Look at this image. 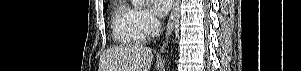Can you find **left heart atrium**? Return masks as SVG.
Returning <instances> with one entry per match:
<instances>
[{
  "instance_id": "39dd6f15",
  "label": "left heart atrium",
  "mask_w": 301,
  "mask_h": 71,
  "mask_svg": "<svg viewBox=\"0 0 301 71\" xmlns=\"http://www.w3.org/2000/svg\"><path fill=\"white\" fill-rule=\"evenodd\" d=\"M154 11L159 15L166 14L172 4L171 0H151Z\"/></svg>"
}]
</instances>
